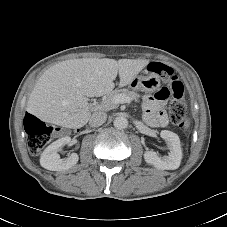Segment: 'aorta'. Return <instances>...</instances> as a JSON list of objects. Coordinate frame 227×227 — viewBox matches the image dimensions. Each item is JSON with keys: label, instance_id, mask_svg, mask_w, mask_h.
<instances>
[{"label": "aorta", "instance_id": "aorta-1", "mask_svg": "<svg viewBox=\"0 0 227 227\" xmlns=\"http://www.w3.org/2000/svg\"><path fill=\"white\" fill-rule=\"evenodd\" d=\"M113 125L117 129H125L128 126V120L123 116H119L114 119Z\"/></svg>", "mask_w": 227, "mask_h": 227}]
</instances>
